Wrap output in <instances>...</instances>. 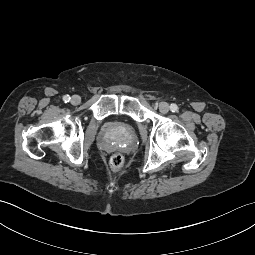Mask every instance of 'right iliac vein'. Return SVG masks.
I'll list each match as a JSON object with an SVG mask.
<instances>
[{
    "mask_svg": "<svg viewBox=\"0 0 255 255\" xmlns=\"http://www.w3.org/2000/svg\"><path fill=\"white\" fill-rule=\"evenodd\" d=\"M80 102H81L80 96H78V95L72 96V98H71V103H72L73 105H78Z\"/></svg>",
    "mask_w": 255,
    "mask_h": 255,
    "instance_id": "obj_1",
    "label": "right iliac vein"
}]
</instances>
